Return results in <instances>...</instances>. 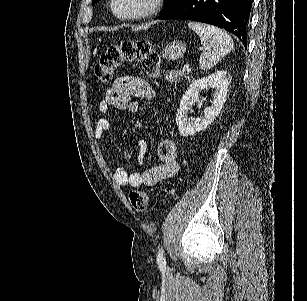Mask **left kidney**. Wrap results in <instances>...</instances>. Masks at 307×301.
I'll list each match as a JSON object with an SVG mask.
<instances>
[{
  "instance_id": "1",
  "label": "left kidney",
  "mask_w": 307,
  "mask_h": 301,
  "mask_svg": "<svg viewBox=\"0 0 307 301\" xmlns=\"http://www.w3.org/2000/svg\"><path fill=\"white\" fill-rule=\"evenodd\" d=\"M229 82H231V76L227 74L226 70H216L209 76L192 80L180 100L176 114V122L181 136H190V134H195V132H200V130H205L207 126H210L214 118L221 112L226 100ZM204 88H215L211 106L204 108L202 116H198V118L188 116L191 104L199 100V92ZM202 100H204V96H202Z\"/></svg>"
}]
</instances>
